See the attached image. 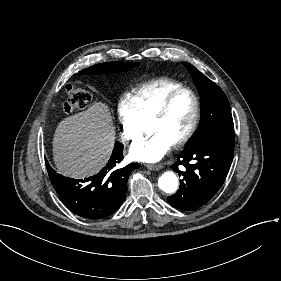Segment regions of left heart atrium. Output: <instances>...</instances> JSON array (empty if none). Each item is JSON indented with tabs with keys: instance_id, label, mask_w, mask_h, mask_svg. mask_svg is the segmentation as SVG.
Segmentation results:
<instances>
[{
	"instance_id": "1",
	"label": "left heart atrium",
	"mask_w": 281,
	"mask_h": 281,
	"mask_svg": "<svg viewBox=\"0 0 281 281\" xmlns=\"http://www.w3.org/2000/svg\"><path fill=\"white\" fill-rule=\"evenodd\" d=\"M172 143L164 135L158 132L149 134L138 141L130 151L131 157L145 163L160 161L170 150Z\"/></svg>"
}]
</instances>
